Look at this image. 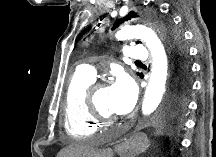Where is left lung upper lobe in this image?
Wrapping results in <instances>:
<instances>
[{
    "label": "left lung upper lobe",
    "instance_id": "obj_1",
    "mask_svg": "<svg viewBox=\"0 0 216 157\" xmlns=\"http://www.w3.org/2000/svg\"><path fill=\"white\" fill-rule=\"evenodd\" d=\"M135 17H138V15L134 11L129 12L123 18L117 19L112 29H116L125 21ZM146 18L160 32L166 43L171 69L170 82L174 74L181 83H184L188 79L190 65L188 62V51L184 45L181 33L173 27L169 20L160 17L156 11L148 12Z\"/></svg>",
    "mask_w": 216,
    "mask_h": 157
}]
</instances>
